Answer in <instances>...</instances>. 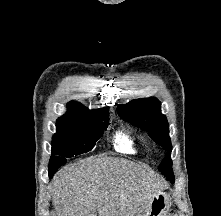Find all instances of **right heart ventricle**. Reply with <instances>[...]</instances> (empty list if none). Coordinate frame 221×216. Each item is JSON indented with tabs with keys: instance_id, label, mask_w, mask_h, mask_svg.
Wrapping results in <instances>:
<instances>
[{
	"instance_id": "e07e8e85",
	"label": "right heart ventricle",
	"mask_w": 221,
	"mask_h": 216,
	"mask_svg": "<svg viewBox=\"0 0 221 216\" xmlns=\"http://www.w3.org/2000/svg\"><path fill=\"white\" fill-rule=\"evenodd\" d=\"M115 148L121 152L133 153L136 150V142L132 133L128 130H119L113 138Z\"/></svg>"
}]
</instances>
